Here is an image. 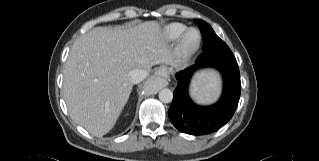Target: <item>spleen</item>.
<instances>
[{"label": "spleen", "mask_w": 319, "mask_h": 161, "mask_svg": "<svg viewBox=\"0 0 319 161\" xmlns=\"http://www.w3.org/2000/svg\"><path fill=\"white\" fill-rule=\"evenodd\" d=\"M219 81L214 73H203L192 83L191 96L198 103H208L218 95Z\"/></svg>", "instance_id": "obj_1"}]
</instances>
